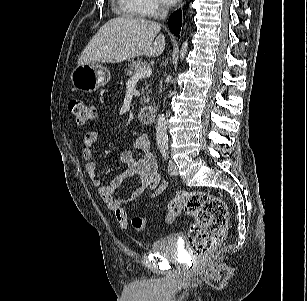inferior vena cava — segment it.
<instances>
[{
  "mask_svg": "<svg viewBox=\"0 0 307 301\" xmlns=\"http://www.w3.org/2000/svg\"><path fill=\"white\" fill-rule=\"evenodd\" d=\"M167 16V12H164V13H162L161 15H160V17L163 19V18H165Z\"/></svg>",
  "mask_w": 307,
  "mask_h": 301,
  "instance_id": "inferior-vena-cava-1",
  "label": "inferior vena cava"
}]
</instances>
